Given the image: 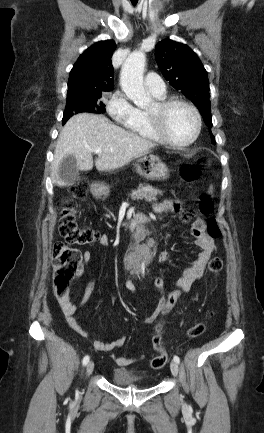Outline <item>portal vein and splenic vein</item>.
<instances>
[{
	"instance_id": "portal-vein-and-splenic-vein-1",
	"label": "portal vein and splenic vein",
	"mask_w": 264,
	"mask_h": 433,
	"mask_svg": "<svg viewBox=\"0 0 264 433\" xmlns=\"http://www.w3.org/2000/svg\"><path fill=\"white\" fill-rule=\"evenodd\" d=\"M94 152L98 155H100L102 153V149L101 148H96L94 149Z\"/></svg>"
}]
</instances>
